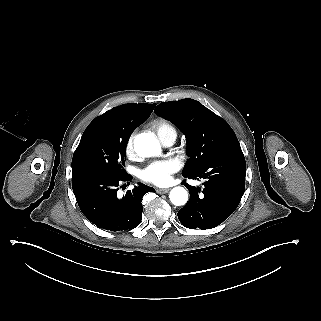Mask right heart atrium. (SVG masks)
<instances>
[{"label": "right heart atrium", "mask_w": 321, "mask_h": 321, "mask_svg": "<svg viewBox=\"0 0 321 321\" xmlns=\"http://www.w3.org/2000/svg\"><path fill=\"white\" fill-rule=\"evenodd\" d=\"M135 132H131L125 142V153L129 158H134L138 155V151L134 143Z\"/></svg>", "instance_id": "1"}]
</instances>
